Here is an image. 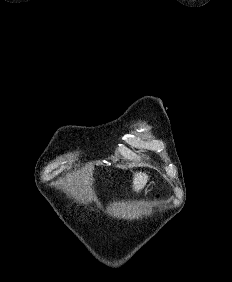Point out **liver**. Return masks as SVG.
<instances>
[{
	"mask_svg": "<svg viewBox=\"0 0 232 282\" xmlns=\"http://www.w3.org/2000/svg\"><path fill=\"white\" fill-rule=\"evenodd\" d=\"M148 176L145 173L139 172L134 175L133 178V188L135 191L139 192L147 183Z\"/></svg>",
	"mask_w": 232,
	"mask_h": 282,
	"instance_id": "1",
	"label": "liver"
}]
</instances>
